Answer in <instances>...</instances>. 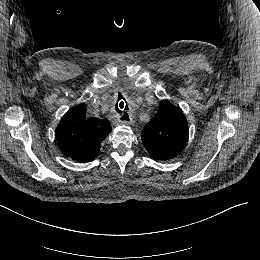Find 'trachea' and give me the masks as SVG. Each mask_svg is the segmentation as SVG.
<instances>
[{
  "instance_id": "obj_1",
  "label": "trachea",
  "mask_w": 260,
  "mask_h": 260,
  "mask_svg": "<svg viewBox=\"0 0 260 260\" xmlns=\"http://www.w3.org/2000/svg\"><path fill=\"white\" fill-rule=\"evenodd\" d=\"M123 106H124V105H123ZM123 106L121 107V105H120V108H123ZM116 109L119 110V107H118L117 104H116ZM127 109H128V107L126 106V107H125V110H127ZM120 112H121V111H120ZM121 120H129V116H128V114H127L126 112H124V113L122 114Z\"/></svg>"
}]
</instances>
